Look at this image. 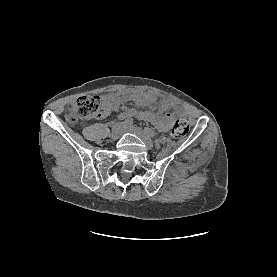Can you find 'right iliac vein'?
Returning a JSON list of instances; mask_svg holds the SVG:
<instances>
[{
  "label": "right iliac vein",
  "mask_w": 277,
  "mask_h": 277,
  "mask_svg": "<svg viewBox=\"0 0 277 277\" xmlns=\"http://www.w3.org/2000/svg\"><path fill=\"white\" fill-rule=\"evenodd\" d=\"M124 131V125L122 123L116 122L112 126L111 139L113 141L117 140Z\"/></svg>",
  "instance_id": "obj_1"
}]
</instances>
